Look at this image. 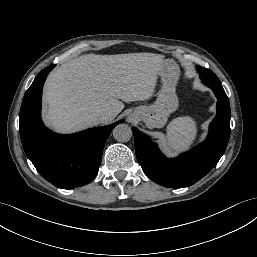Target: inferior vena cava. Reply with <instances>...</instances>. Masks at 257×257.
<instances>
[{"mask_svg":"<svg viewBox=\"0 0 257 257\" xmlns=\"http://www.w3.org/2000/svg\"><path fill=\"white\" fill-rule=\"evenodd\" d=\"M114 117L115 115L112 112H101L97 115V121L99 123H105L112 120Z\"/></svg>","mask_w":257,"mask_h":257,"instance_id":"obj_1","label":"inferior vena cava"}]
</instances>
